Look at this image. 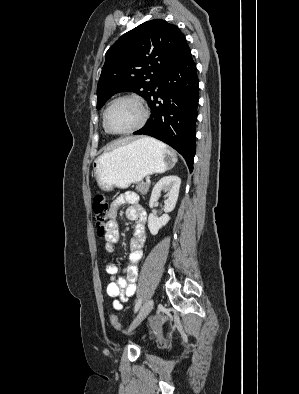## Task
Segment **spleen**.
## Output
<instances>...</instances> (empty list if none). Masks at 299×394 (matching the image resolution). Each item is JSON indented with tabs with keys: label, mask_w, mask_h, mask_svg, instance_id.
<instances>
[{
	"label": "spleen",
	"mask_w": 299,
	"mask_h": 394,
	"mask_svg": "<svg viewBox=\"0 0 299 394\" xmlns=\"http://www.w3.org/2000/svg\"><path fill=\"white\" fill-rule=\"evenodd\" d=\"M155 142L158 143V144H161L162 146H165L164 144H162V143H160V142H158V141H156V140H155Z\"/></svg>",
	"instance_id": "obj_1"
}]
</instances>
